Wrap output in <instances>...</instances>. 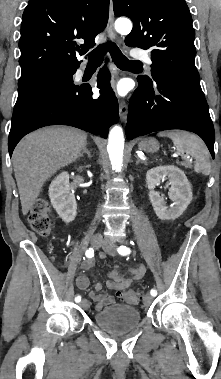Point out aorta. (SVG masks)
<instances>
[{"mask_svg": "<svg viewBox=\"0 0 221 379\" xmlns=\"http://www.w3.org/2000/svg\"><path fill=\"white\" fill-rule=\"evenodd\" d=\"M115 29L121 34H128L132 30L129 19L120 18L115 22ZM124 134L120 126L115 125L109 132L107 151L112 168L121 172L123 166Z\"/></svg>", "mask_w": 221, "mask_h": 379, "instance_id": "aorta-1", "label": "aorta"}]
</instances>
